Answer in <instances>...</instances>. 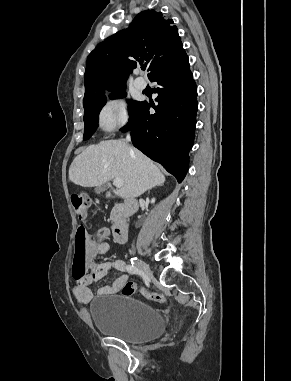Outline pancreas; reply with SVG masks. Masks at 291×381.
Returning <instances> with one entry per match:
<instances>
[{"mask_svg":"<svg viewBox=\"0 0 291 381\" xmlns=\"http://www.w3.org/2000/svg\"><path fill=\"white\" fill-rule=\"evenodd\" d=\"M110 219H111L112 222H115L116 219H117V213L114 210L111 212Z\"/></svg>","mask_w":291,"mask_h":381,"instance_id":"cf45deb5","label":"pancreas"}]
</instances>
